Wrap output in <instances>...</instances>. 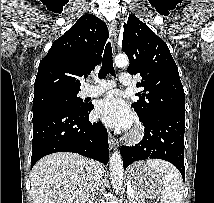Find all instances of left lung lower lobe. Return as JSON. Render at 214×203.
Here are the masks:
<instances>
[{
    "label": "left lung lower lobe",
    "instance_id": "0a47b994",
    "mask_svg": "<svg viewBox=\"0 0 214 203\" xmlns=\"http://www.w3.org/2000/svg\"><path fill=\"white\" fill-rule=\"evenodd\" d=\"M139 119L145 127L144 138L135 146L121 147L124 170L138 160L163 159L175 165L185 179V112L161 111Z\"/></svg>",
    "mask_w": 214,
    "mask_h": 203
}]
</instances>
